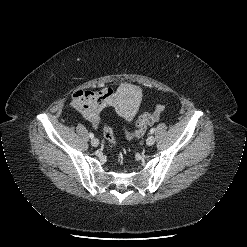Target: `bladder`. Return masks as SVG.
Listing matches in <instances>:
<instances>
[{"instance_id":"31cf9c89","label":"bladder","mask_w":247,"mask_h":247,"mask_svg":"<svg viewBox=\"0 0 247 247\" xmlns=\"http://www.w3.org/2000/svg\"><path fill=\"white\" fill-rule=\"evenodd\" d=\"M125 88H127L128 90L134 91L135 93H138V89L133 85H126Z\"/></svg>"}]
</instances>
